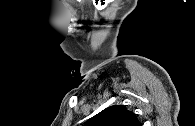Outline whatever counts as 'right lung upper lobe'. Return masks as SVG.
Here are the masks:
<instances>
[{
  "label": "right lung upper lobe",
  "mask_w": 195,
  "mask_h": 126,
  "mask_svg": "<svg viewBox=\"0 0 195 126\" xmlns=\"http://www.w3.org/2000/svg\"><path fill=\"white\" fill-rule=\"evenodd\" d=\"M84 126H141V123L125 106L113 105L90 118Z\"/></svg>",
  "instance_id": "obj_1"
}]
</instances>
